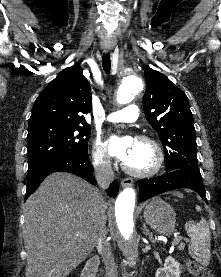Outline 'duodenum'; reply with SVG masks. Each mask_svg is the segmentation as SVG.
I'll use <instances>...</instances> for the list:
<instances>
[{
	"mask_svg": "<svg viewBox=\"0 0 221 277\" xmlns=\"http://www.w3.org/2000/svg\"><path fill=\"white\" fill-rule=\"evenodd\" d=\"M98 267L99 258L96 256L90 258L82 271L81 277H96Z\"/></svg>",
	"mask_w": 221,
	"mask_h": 277,
	"instance_id": "duodenum-1",
	"label": "duodenum"
}]
</instances>
